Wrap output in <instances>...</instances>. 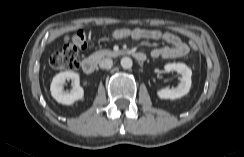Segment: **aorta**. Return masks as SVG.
<instances>
[{"label": "aorta", "mask_w": 244, "mask_h": 157, "mask_svg": "<svg viewBox=\"0 0 244 157\" xmlns=\"http://www.w3.org/2000/svg\"><path fill=\"white\" fill-rule=\"evenodd\" d=\"M133 65L132 59L129 57H123L121 59V66L124 69H130Z\"/></svg>", "instance_id": "762f6f07"}]
</instances>
